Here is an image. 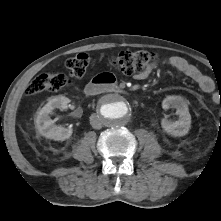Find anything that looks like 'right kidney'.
I'll list each match as a JSON object with an SVG mask.
<instances>
[{
  "instance_id": "1",
  "label": "right kidney",
  "mask_w": 221,
  "mask_h": 221,
  "mask_svg": "<svg viewBox=\"0 0 221 221\" xmlns=\"http://www.w3.org/2000/svg\"><path fill=\"white\" fill-rule=\"evenodd\" d=\"M70 100L62 95L55 96L37 112L35 118L36 130L44 137L55 141H64L72 135L71 128H64L54 124L49 114L55 109H65Z\"/></svg>"
}]
</instances>
